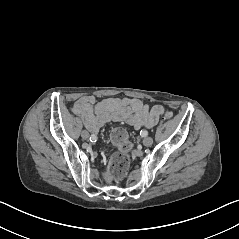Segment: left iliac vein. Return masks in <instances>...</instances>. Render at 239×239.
Instances as JSON below:
<instances>
[{
  "label": "left iliac vein",
  "instance_id": "1",
  "mask_svg": "<svg viewBox=\"0 0 239 239\" xmlns=\"http://www.w3.org/2000/svg\"><path fill=\"white\" fill-rule=\"evenodd\" d=\"M153 144V139L151 137H145L143 139V145L144 146H151Z\"/></svg>",
  "mask_w": 239,
  "mask_h": 239
}]
</instances>
